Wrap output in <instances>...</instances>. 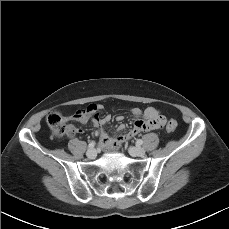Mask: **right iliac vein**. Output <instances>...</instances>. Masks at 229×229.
<instances>
[{"label":"right iliac vein","mask_w":229,"mask_h":229,"mask_svg":"<svg viewBox=\"0 0 229 229\" xmlns=\"http://www.w3.org/2000/svg\"><path fill=\"white\" fill-rule=\"evenodd\" d=\"M86 155L90 158V159H94L97 156V151L95 149H88Z\"/></svg>","instance_id":"obj_1"}]
</instances>
